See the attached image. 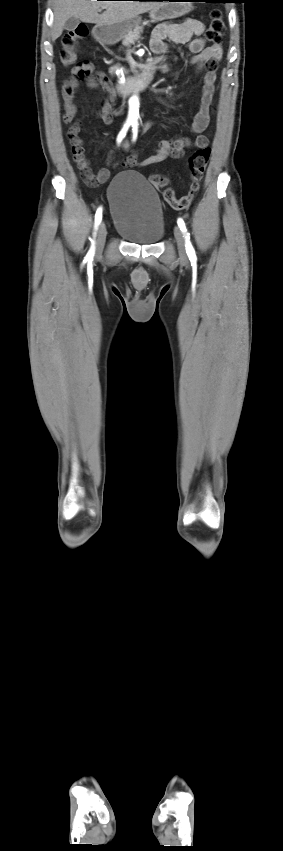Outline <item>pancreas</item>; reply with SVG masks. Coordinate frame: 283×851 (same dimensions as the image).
Wrapping results in <instances>:
<instances>
[{"label":"pancreas","instance_id":"cf45deb5","mask_svg":"<svg viewBox=\"0 0 283 851\" xmlns=\"http://www.w3.org/2000/svg\"><path fill=\"white\" fill-rule=\"evenodd\" d=\"M146 24H148V22H145L143 25H146ZM142 31H143V27L141 26V27H137L133 32H130L129 34H127L123 39V42H122L123 45L124 46H130L131 44H134L135 41L140 39V33ZM116 68H117V66L113 67V69H116Z\"/></svg>","mask_w":283,"mask_h":851}]
</instances>
